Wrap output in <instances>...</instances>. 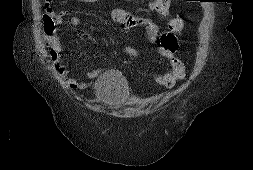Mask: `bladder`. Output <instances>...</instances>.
<instances>
[{
	"instance_id": "31cf9c89",
	"label": "bladder",
	"mask_w": 253,
	"mask_h": 170,
	"mask_svg": "<svg viewBox=\"0 0 253 170\" xmlns=\"http://www.w3.org/2000/svg\"><path fill=\"white\" fill-rule=\"evenodd\" d=\"M94 92L102 104L115 108L126 103L130 87L122 73L108 70L95 81Z\"/></svg>"
}]
</instances>
